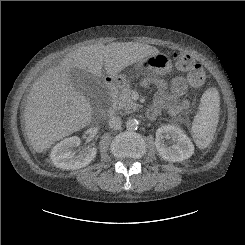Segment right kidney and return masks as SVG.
<instances>
[{"instance_id":"obj_1","label":"right kidney","mask_w":245,"mask_h":245,"mask_svg":"<svg viewBox=\"0 0 245 245\" xmlns=\"http://www.w3.org/2000/svg\"><path fill=\"white\" fill-rule=\"evenodd\" d=\"M80 138L72 136L57 143L50 154V158L57 168L74 170L87 166L96 157L97 149L89 148L76 153L74 147L80 145Z\"/></svg>"}]
</instances>
